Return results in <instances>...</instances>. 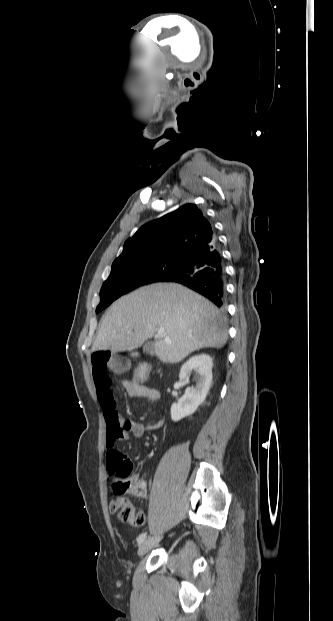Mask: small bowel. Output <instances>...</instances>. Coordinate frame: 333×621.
I'll return each instance as SVG.
<instances>
[{"label":"small bowel","mask_w":333,"mask_h":621,"mask_svg":"<svg viewBox=\"0 0 333 621\" xmlns=\"http://www.w3.org/2000/svg\"><path fill=\"white\" fill-rule=\"evenodd\" d=\"M119 366V360L108 350L100 349L92 353V375L107 426V467L110 471L126 467L132 470L130 460L117 448L119 443L127 441L130 434L139 438L144 436L147 431L158 429L163 424V421L160 420L156 424L145 426L141 423L124 420L121 417L112 392V380L109 374L111 369L118 368ZM121 387L131 397L143 398L148 401H156L159 399L158 391L143 383L130 389L127 381H122ZM131 480L133 487L130 493L139 498L145 497L147 493L146 481L137 474L133 475Z\"/></svg>","instance_id":"obj_1"}]
</instances>
